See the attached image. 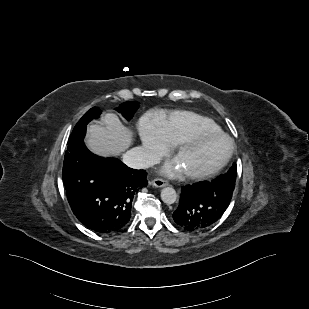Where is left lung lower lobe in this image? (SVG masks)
<instances>
[{
    "instance_id": "left-lung-lower-lobe-1",
    "label": "left lung lower lobe",
    "mask_w": 309,
    "mask_h": 309,
    "mask_svg": "<svg viewBox=\"0 0 309 309\" xmlns=\"http://www.w3.org/2000/svg\"><path fill=\"white\" fill-rule=\"evenodd\" d=\"M235 185L198 182L182 187L174 221L188 231H200L214 225L230 204Z\"/></svg>"
}]
</instances>
